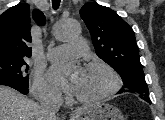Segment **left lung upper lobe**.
Listing matches in <instances>:
<instances>
[{
	"instance_id": "1",
	"label": "left lung upper lobe",
	"mask_w": 165,
	"mask_h": 120,
	"mask_svg": "<svg viewBox=\"0 0 165 120\" xmlns=\"http://www.w3.org/2000/svg\"><path fill=\"white\" fill-rule=\"evenodd\" d=\"M80 15L90 31L98 57L120 74L127 91L139 94L150 103L132 28L115 11L97 3L85 4Z\"/></svg>"
}]
</instances>
